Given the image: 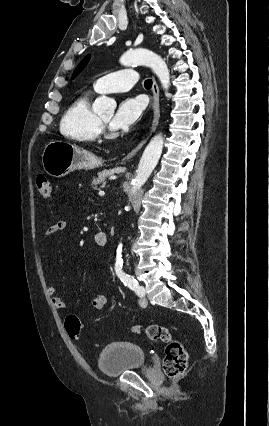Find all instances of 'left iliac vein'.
I'll use <instances>...</instances> for the list:
<instances>
[{
  "label": "left iliac vein",
  "mask_w": 269,
  "mask_h": 426,
  "mask_svg": "<svg viewBox=\"0 0 269 426\" xmlns=\"http://www.w3.org/2000/svg\"><path fill=\"white\" fill-rule=\"evenodd\" d=\"M139 304H140L141 307H146L147 304H148V301H147L146 298H141L140 301H139Z\"/></svg>",
  "instance_id": "obj_1"
}]
</instances>
